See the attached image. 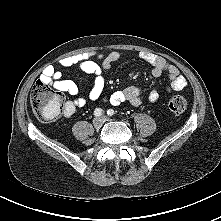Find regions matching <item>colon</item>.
Here are the masks:
<instances>
[{"mask_svg":"<svg viewBox=\"0 0 221 221\" xmlns=\"http://www.w3.org/2000/svg\"><path fill=\"white\" fill-rule=\"evenodd\" d=\"M30 104L35 116L42 121L58 118L64 109L63 96L52 90L48 84L37 82L30 95ZM174 114H182L187 109V101L182 96H172L168 102Z\"/></svg>","mask_w":221,"mask_h":221,"instance_id":"colon-1","label":"colon"}]
</instances>
